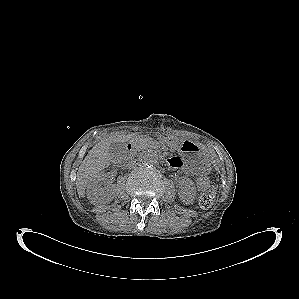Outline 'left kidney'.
I'll return each mask as SVG.
<instances>
[{"instance_id":"5707ae66","label":"left kidney","mask_w":299,"mask_h":299,"mask_svg":"<svg viewBox=\"0 0 299 299\" xmlns=\"http://www.w3.org/2000/svg\"><path fill=\"white\" fill-rule=\"evenodd\" d=\"M178 195L182 202L186 204L193 203L196 196V188L194 182L189 178H182L179 181Z\"/></svg>"}]
</instances>
